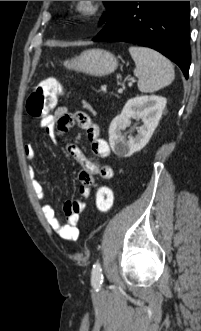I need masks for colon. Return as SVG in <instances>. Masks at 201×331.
I'll return each mask as SVG.
<instances>
[{
	"label": "colon",
	"instance_id": "1",
	"mask_svg": "<svg viewBox=\"0 0 201 331\" xmlns=\"http://www.w3.org/2000/svg\"><path fill=\"white\" fill-rule=\"evenodd\" d=\"M62 94L61 84L54 78L41 82L30 94L26 102V111L33 118H43L57 104L58 97ZM113 207V192L108 186H101L96 192V208L106 214Z\"/></svg>",
	"mask_w": 201,
	"mask_h": 331
}]
</instances>
